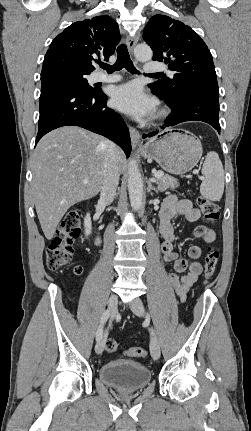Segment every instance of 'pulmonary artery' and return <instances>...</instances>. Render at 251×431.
<instances>
[{"label": "pulmonary artery", "instance_id": "pulmonary-artery-1", "mask_svg": "<svg viewBox=\"0 0 251 431\" xmlns=\"http://www.w3.org/2000/svg\"><path fill=\"white\" fill-rule=\"evenodd\" d=\"M164 69H165V66L159 62H148V63H146V65L144 67V71L147 74L154 73V72H160ZM97 79L99 81H104V82H115V81L119 80V76H117V75L107 76L104 74H99L97 76Z\"/></svg>", "mask_w": 251, "mask_h": 431}]
</instances>
